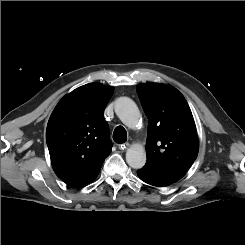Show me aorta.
Masks as SVG:
<instances>
[{
	"instance_id": "762f6f07",
	"label": "aorta",
	"mask_w": 245,
	"mask_h": 245,
	"mask_svg": "<svg viewBox=\"0 0 245 245\" xmlns=\"http://www.w3.org/2000/svg\"><path fill=\"white\" fill-rule=\"evenodd\" d=\"M115 112L127 127L134 129L140 121V112L135 102L128 97H120L115 102ZM126 162L134 169L142 168L146 163V152L139 144L132 145L126 152Z\"/></svg>"
}]
</instances>
